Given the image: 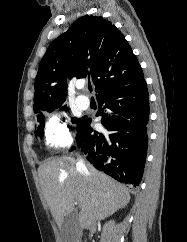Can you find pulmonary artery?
Instances as JSON below:
<instances>
[{
	"label": "pulmonary artery",
	"mask_w": 187,
	"mask_h": 242,
	"mask_svg": "<svg viewBox=\"0 0 187 242\" xmlns=\"http://www.w3.org/2000/svg\"><path fill=\"white\" fill-rule=\"evenodd\" d=\"M78 88L81 89L82 86H79ZM76 102H77V105L82 109H87L90 105L89 99L84 95L78 96L76 99Z\"/></svg>",
	"instance_id": "pulmonary-artery-1"
}]
</instances>
